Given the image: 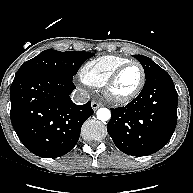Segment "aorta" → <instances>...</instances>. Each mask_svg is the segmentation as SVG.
<instances>
[{
  "instance_id": "1",
  "label": "aorta",
  "mask_w": 193,
  "mask_h": 193,
  "mask_svg": "<svg viewBox=\"0 0 193 193\" xmlns=\"http://www.w3.org/2000/svg\"><path fill=\"white\" fill-rule=\"evenodd\" d=\"M97 118L100 120V121H108L111 117V112L109 109L107 108H100L97 110Z\"/></svg>"
}]
</instances>
